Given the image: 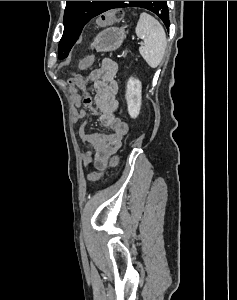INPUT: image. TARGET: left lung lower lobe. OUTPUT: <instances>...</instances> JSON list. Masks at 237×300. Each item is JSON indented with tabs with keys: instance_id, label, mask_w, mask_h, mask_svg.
<instances>
[{
	"instance_id": "left-lung-lower-lobe-1",
	"label": "left lung lower lobe",
	"mask_w": 237,
	"mask_h": 300,
	"mask_svg": "<svg viewBox=\"0 0 237 300\" xmlns=\"http://www.w3.org/2000/svg\"><path fill=\"white\" fill-rule=\"evenodd\" d=\"M167 7L166 1H160V8L164 9ZM120 8V1H110V3L105 7L104 12L110 9ZM169 30V28H168Z\"/></svg>"
}]
</instances>
